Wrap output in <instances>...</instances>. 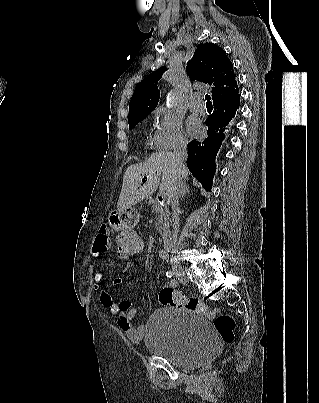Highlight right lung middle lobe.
<instances>
[{
	"instance_id": "dd1d6c3e",
	"label": "right lung middle lobe",
	"mask_w": 319,
	"mask_h": 403,
	"mask_svg": "<svg viewBox=\"0 0 319 403\" xmlns=\"http://www.w3.org/2000/svg\"><path fill=\"white\" fill-rule=\"evenodd\" d=\"M148 115H149V114H148ZM148 115H145V116L140 117V118L135 119V120H130V121H128V122H129V128H130V129L133 128L139 121L143 120V119H144L146 116H148Z\"/></svg>"
}]
</instances>
